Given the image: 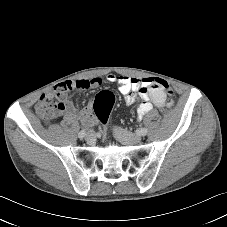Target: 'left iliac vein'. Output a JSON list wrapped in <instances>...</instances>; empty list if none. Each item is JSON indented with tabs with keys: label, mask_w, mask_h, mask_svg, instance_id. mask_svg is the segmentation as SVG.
Returning a JSON list of instances; mask_svg holds the SVG:
<instances>
[{
	"label": "left iliac vein",
	"mask_w": 227,
	"mask_h": 227,
	"mask_svg": "<svg viewBox=\"0 0 227 227\" xmlns=\"http://www.w3.org/2000/svg\"><path fill=\"white\" fill-rule=\"evenodd\" d=\"M115 137L125 145L137 144L141 141V136L128 132L122 128H115L114 130Z\"/></svg>",
	"instance_id": "4c4485c4"
}]
</instances>
